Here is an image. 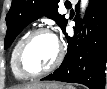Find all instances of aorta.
<instances>
[{"label": "aorta", "instance_id": "obj_1", "mask_svg": "<svg viewBox=\"0 0 107 89\" xmlns=\"http://www.w3.org/2000/svg\"><path fill=\"white\" fill-rule=\"evenodd\" d=\"M87 5H88V0H81V11L84 12Z\"/></svg>", "mask_w": 107, "mask_h": 89}]
</instances>
